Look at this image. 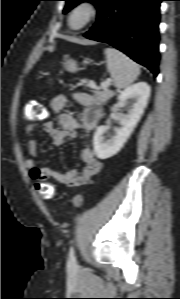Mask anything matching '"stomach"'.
Wrapping results in <instances>:
<instances>
[{
  "label": "stomach",
  "mask_w": 180,
  "mask_h": 299,
  "mask_svg": "<svg viewBox=\"0 0 180 299\" xmlns=\"http://www.w3.org/2000/svg\"><path fill=\"white\" fill-rule=\"evenodd\" d=\"M65 69L69 72H76L78 71V65L77 62L73 59H67L63 63Z\"/></svg>",
  "instance_id": "stomach-1"
}]
</instances>
